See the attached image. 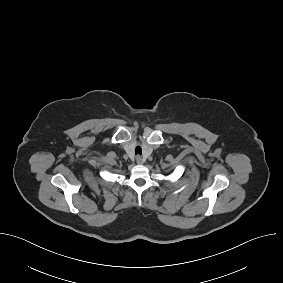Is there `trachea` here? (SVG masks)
I'll return each mask as SVG.
<instances>
[{"label": "trachea", "mask_w": 283, "mask_h": 283, "mask_svg": "<svg viewBox=\"0 0 283 283\" xmlns=\"http://www.w3.org/2000/svg\"><path fill=\"white\" fill-rule=\"evenodd\" d=\"M135 154H142V149H141V147L140 146H137L136 148H135Z\"/></svg>", "instance_id": "obj_1"}]
</instances>
